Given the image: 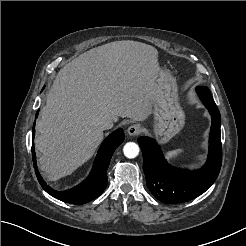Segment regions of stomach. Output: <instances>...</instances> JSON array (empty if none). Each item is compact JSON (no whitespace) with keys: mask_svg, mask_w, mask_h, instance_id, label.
Wrapping results in <instances>:
<instances>
[{"mask_svg":"<svg viewBox=\"0 0 246 246\" xmlns=\"http://www.w3.org/2000/svg\"><path fill=\"white\" fill-rule=\"evenodd\" d=\"M155 91L153 132L165 144L181 131L185 114L179 104L176 79L171 74L161 71Z\"/></svg>","mask_w":246,"mask_h":246,"instance_id":"0dacf381","label":"stomach"}]
</instances>
